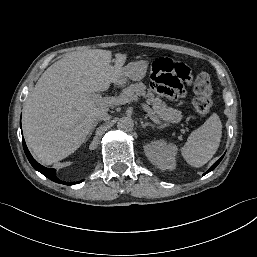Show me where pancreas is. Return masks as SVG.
Listing matches in <instances>:
<instances>
[{
    "instance_id": "pancreas-1",
    "label": "pancreas",
    "mask_w": 257,
    "mask_h": 257,
    "mask_svg": "<svg viewBox=\"0 0 257 257\" xmlns=\"http://www.w3.org/2000/svg\"><path fill=\"white\" fill-rule=\"evenodd\" d=\"M146 86L142 83L131 84L127 88L122 90V95L128 97L137 98L143 96L147 99V102L152 106L153 113L157 118L168 123H177L182 119L181 111L167 107V104L163 102L158 96H155L151 89H148L146 93Z\"/></svg>"
}]
</instances>
